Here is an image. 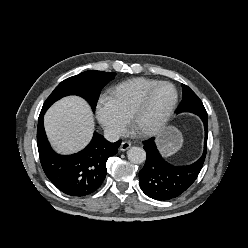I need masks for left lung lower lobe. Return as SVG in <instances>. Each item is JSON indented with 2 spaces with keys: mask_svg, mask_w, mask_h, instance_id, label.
I'll use <instances>...</instances> for the list:
<instances>
[{
  "mask_svg": "<svg viewBox=\"0 0 248 248\" xmlns=\"http://www.w3.org/2000/svg\"><path fill=\"white\" fill-rule=\"evenodd\" d=\"M198 116L204 123V151L202 156L191 165H172L162 158L156 148L154 138L144 142L147 157L143 169L139 172V184L148 197L155 200L175 198L196 180L205 160L208 137V115L204 113Z\"/></svg>",
  "mask_w": 248,
  "mask_h": 248,
  "instance_id": "0a47b994",
  "label": "left lung lower lobe"
}]
</instances>
